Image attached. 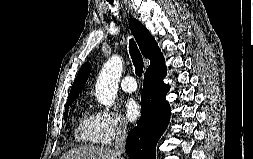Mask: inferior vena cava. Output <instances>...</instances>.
Instances as JSON below:
<instances>
[{"instance_id":"inferior-vena-cava-1","label":"inferior vena cava","mask_w":253,"mask_h":159,"mask_svg":"<svg viewBox=\"0 0 253 159\" xmlns=\"http://www.w3.org/2000/svg\"><path fill=\"white\" fill-rule=\"evenodd\" d=\"M126 126L123 124H119L116 130V137L114 142V151L118 155H122L125 153V143H126Z\"/></svg>"}]
</instances>
